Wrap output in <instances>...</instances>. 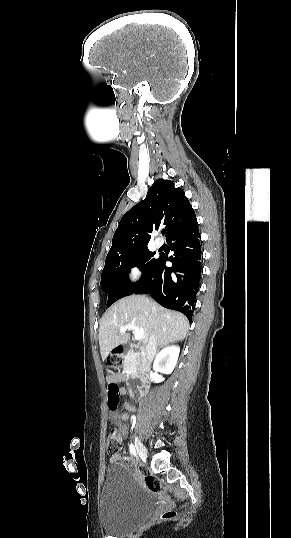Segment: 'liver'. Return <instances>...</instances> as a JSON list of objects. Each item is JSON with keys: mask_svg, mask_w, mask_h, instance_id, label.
Wrapping results in <instances>:
<instances>
[{"mask_svg": "<svg viewBox=\"0 0 291 538\" xmlns=\"http://www.w3.org/2000/svg\"><path fill=\"white\" fill-rule=\"evenodd\" d=\"M134 324L143 329V344L147 345L152 334L160 347L183 340L189 331L187 318L175 311L167 310L141 295L120 299L102 316L99 327V345L102 360L121 344L130 340V330L120 331V327Z\"/></svg>", "mask_w": 291, "mask_h": 538, "instance_id": "obj_1", "label": "liver"}]
</instances>
